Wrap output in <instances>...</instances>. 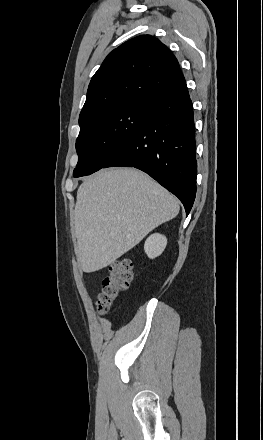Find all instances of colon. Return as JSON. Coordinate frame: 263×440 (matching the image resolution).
Wrapping results in <instances>:
<instances>
[{
  "label": "colon",
  "mask_w": 263,
  "mask_h": 440,
  "mask_svg": "<svg viewBox=\"0 0 263 440\" xmlns=\"http://www.w3.org/2000/svg\"><path fill=\"white\" fill-rule=\"evenodd\" d=\"M131 268L132 264L127 259H120L110 264L108 275L102 281V291L96 300V307L100 313H108L121 293L130 287Z\"/></svg>",
  "instance_id": "obj_1"
}]
</instances>
